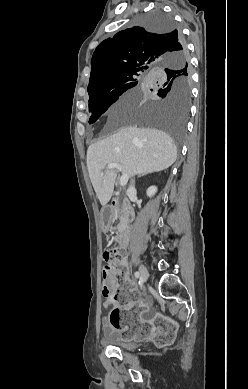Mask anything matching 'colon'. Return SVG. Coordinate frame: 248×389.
<instances>
[{
    "label": "colon",
    "instance_id": "obj_1",
    "mask_svg": "<svg viewBox=\"0 0 248 389\" xmlns=\"http://www.w3.org/2000/svg\"><path fill=\"white\" fill-rule=\"evenodd\" d=\"M103 258L105 261L103 294L109 300L119 303L110 313L111 326L120 330L128 343L133 342L132 337L145 340L149 333H153L156 338L155 346L159 349L171 344L177 324L167 321L171 316L170 311H161L159 316L153 315L152 324L140 322L142 318L147 317L148 307L141 303L137 283L126 277L123 251L119 248H112L104 253Z\"/></svg>",
    "mask_w": 248,
    "mask_h": 389
}]
</instances>
